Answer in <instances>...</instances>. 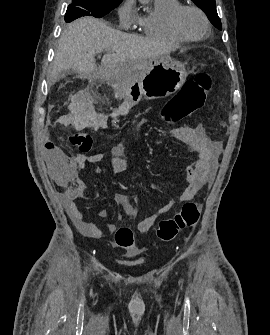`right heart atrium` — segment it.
<instances>
[{"mask_svg":"<svg viewBox=\"0 0 270 335\" xmlns=\"http://www.w3.org/2000/svg\"><path fill=\"white\" fill-rule=\"evenodd\" d=\"M119 19L123 27H129L135 20V0H124L119 7Z\"/></svg>","mask_w":270,"mask_h":335,"instance_id":"1","label":"right heart atrium"}]
</instances>
